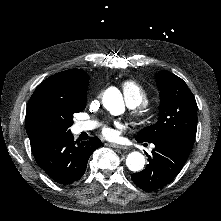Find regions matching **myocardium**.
Instances as JSON below:
<instances>
[{
	"label": "myocardium",
	"mask_w": 221,
	"mask_h": 221,
	"mask_svg": "<svg viewBox=\"0 0 221 221\" xmlns=\"http://www.w3.org/2000/svg\"><path fill=\"white\" fill-rule=\"evenodd\" d=\"M155 116H156V112H155V109L154 108H149L145 111V121L143 122V124L145 126H149L151 125L153 122H154V119H155Z\"/></svg>",
	"instance_id": "1"
}]
</instances>
